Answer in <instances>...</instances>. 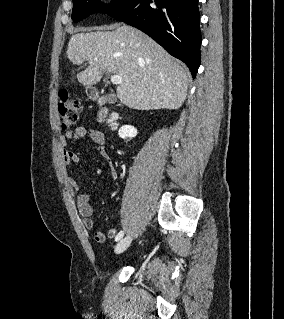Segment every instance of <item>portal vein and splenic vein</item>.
Returning a JSON list of instances; mask_svg holds the SVG:
<instances>
[{
    "instance_id": "portal-vein-and-splenic-vein-1",
    "label": "portal vein and splenic vein",
    "mask_w": 284,
    "mask_h": 319,
    "mask_svg": "<svg viewBox=\"0 0 284 319\" xmlns=\"http://www.w3.org/2000/svg\"><path fill=\"white\" fill-rule=\"evenodd\" d=\"M111 82L114 85H119L123 82V79L119 75H111Z\"/></svg>"
}]
</instances>
